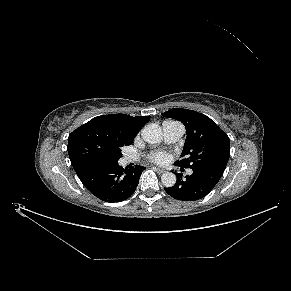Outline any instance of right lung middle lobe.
Instances as JSON below:
<instances>
[{
  "label": "right lung middle lobe",
  "mask_w": 291,
  "mask_h": 291,
  "mask_svg": "<svg viewBox=\"0 0 291 291\" xmlns=\"http://www.w3.org/2000/svg\"><path fill=\"white\" fill-rule=\"evenodd\" d=\"M121 156H122L121 150H115V151L100 150L93 153L92 159L102 158V159L118 162Z\"/></svg>",
  "instance_id": "dd1d6c3e"
}]
</instances>
